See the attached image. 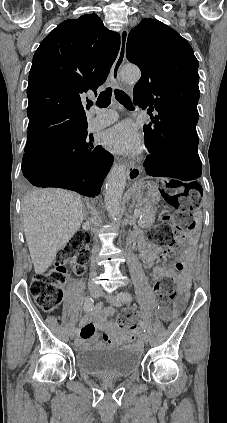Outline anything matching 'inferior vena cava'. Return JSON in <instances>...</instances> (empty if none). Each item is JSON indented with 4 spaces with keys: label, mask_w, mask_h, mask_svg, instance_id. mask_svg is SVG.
<instances>
[{
    "label": "inferior vena cava",
    "mask_w": 227,
    "mask_h": 423,
    "mask_svg": "<svg viewBox=\"0 0 227 423\" xmlns=\"http://www.w3.org/2000/svg\"><path fill=\"white\" fill-rule=\"evenodd\" d=\"M92 221H96V223H98L99 219H92ZM96 253H97V247H95V245H94V247L92 249V257H91V259H92V261H91V273H90L91 277H93V275H96V271H95L96 267L94 265V259H95Z\"/></svg>",
    "instance_id": "obj_1"
}]
</instances>
